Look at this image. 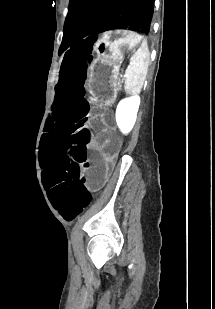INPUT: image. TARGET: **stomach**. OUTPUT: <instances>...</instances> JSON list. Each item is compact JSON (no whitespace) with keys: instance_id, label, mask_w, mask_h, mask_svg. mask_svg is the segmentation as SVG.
<instances>
[{"instance_id":"0dacf381","label":"stomach","mask_w":215,"mask_h":309,"mask_svg":"<svg viewBox=\"0 0 215 309\" xmlns=\"http://www.w3.org/2000/svg\"><path fill=\"white\" fill-rule=\"evenodd\" d=\"M143 37L128 29L103 33L95 45L96 59L87 76L88 90L94 100H109L116 89L119 66L126 52L138 47Z\"/></svg>"}]
</instances>
